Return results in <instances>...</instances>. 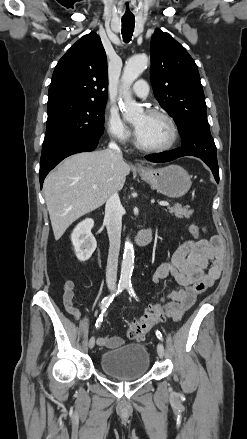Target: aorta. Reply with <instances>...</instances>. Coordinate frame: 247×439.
Masks as SVG:
<instances>
[{
  "instance_id": "762f6f07",
  "label": "aorta",
  "mask_w": 247,
  "mask_h": 439,
  "mask_svg": "<svg viewBox=\"0 0 247 439\" xmlns=\"http://www.w3.org/2000/svg\"><path fill=\"white\" fill-rule=\"evenodd\" d=\"M148 57L146 55H135L128 59L122 73V98L120 104L123 112V118L127 121H132L143 113L142 107L132 98L130 87L133 82L141 75L147 68ZM134 248L129 239L125 241L123 260L121 264L120 283L128 284L131 280L134 269Z\"/></svg>"
}]
</instances>
